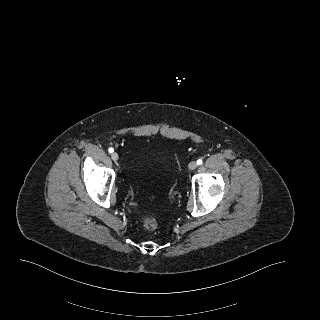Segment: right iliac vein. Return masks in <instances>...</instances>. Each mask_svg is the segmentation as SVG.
<instances>
[{
	"label": "right iliac vein",
	"instance_id": "right-iliac-vein-1",
	"mask_svg": "<svg viewBox=\"0 0 320 320\" xmlns=\"http://www.w3.org/2000/svg\"><path fill=\"white\" fill-rule=\"evenodd\" d=\"M111 158H112V160L114 162H116L119 159V156H118V154L116 152H114V153L111 154Z\"/></svg>",
	"mask_w": 320,
	"mask_h": 320
}]
</instances>
